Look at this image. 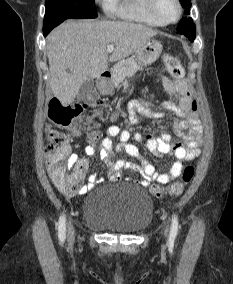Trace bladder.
Listing matches in <instances>:
<instances>
[{
	"instance_id": "31cf9c89",
	"label": "bladder",
	"mask_w": 233,
	"mask_h": 284,
	"mask_svg": "<svg viewBox=\"0 0 233 284\" xmlns=\"http://www.w3.org/2000/svg\"><path fill=\"white\" fill-rule=\"evenodd\" d=\"M154 203L135 185H116L91 192L83 205L84 222L97 230L136 234L152 222Z\"/></svg>"
}]
</instances>
